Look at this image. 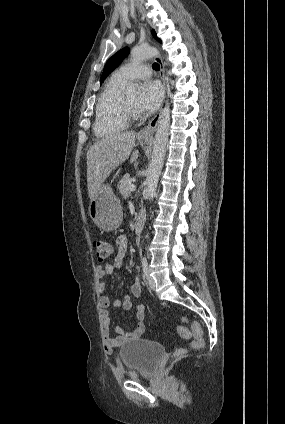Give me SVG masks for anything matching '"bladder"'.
Returning <instances> with one entry per match:
<instances>
[{
  "label": "bladder",
  "mask_w": 285,
  "mask_h": 424,
  "mask_svg": "<svg viewBox=\"0 0 285 424\" xmlns=\"http://www.w3.org/2000/svg\"><path fill=\"white\" fill-rule=\"evenodd\" d=\"M164 353L165 349L161 344L143 339L127 341L117 350L118 357L130 376L155 372Z\"/></svg>",
  "instance_id": "obj_1"
}]
</instances>
